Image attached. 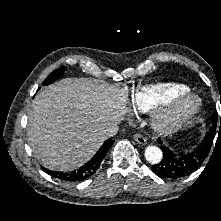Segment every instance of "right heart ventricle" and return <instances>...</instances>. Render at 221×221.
<instances>
[{"label": "right heart ventricle", "mask_w": 221, "mask_h": 221, "mask_svg": "<svg viewBox=\"0 0 221 221\" xmlns=\"http://www.w3.org/2000/svg\"><path fill=\"white\" fill-rule=\"evenodd\" d=\"M189 88L179 83H157L144 85L136 89L130 100L134 113L151 112L161 101L168 98H178L188 94Z\"/></svg>", "instance_id": "obj_1"}]
</instances>
